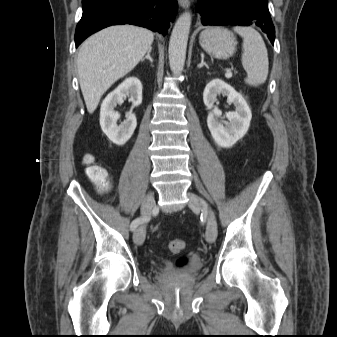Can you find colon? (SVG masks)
<instances>
[{"mask_svg": "<svg viewBox=\"0 0 337 337\" xmlns=\"http://www.w3.org/2000/svg\"><path fill=\"white\" fill-rule=\"evenodd\" d=\"M84 163L86 165V174L95 184L98 191L101 193L108 191L110 188V181L105 171L99 165L93 162V159L90 155L85 156ZM168 247L171 252L180 253L185 247V242L182 239H172L169 241ZM183 263V260L180 261V264Z\"/></svg>", "mask_w": 337, "mask_h": 337, "instance_id": "5ec220e1", "label": "colon"}]
</instances>
